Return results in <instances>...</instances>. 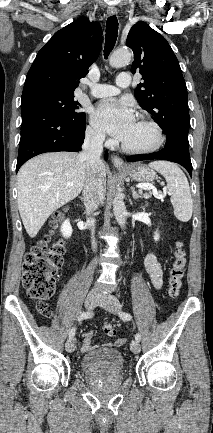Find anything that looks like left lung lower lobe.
<instances>
[{
	"instance_id": "1",
	"label": "left lung lower lobe",
	"mask_w": 213,
	"mask_h": 433,
	"mask_svg": "<svg viewBox=\"0 0 213 433\" xmlns=\"http://www.w3.org/2000/svg\"><path fill=\"white\" fill-rule=\"evenodd\" d=\"M126 159L128 162L149 159L172 161L182 165L189 172L190 176H192V164L189 155V143L187 139L179 135L167 137L164 148L158 152L144 155H133L127 157Z\"/></svg>"
}]
</instances>
